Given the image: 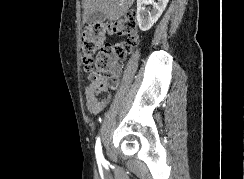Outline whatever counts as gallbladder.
I'll use <instances>...</instances> for the list:
<instances>
[{
    "mask_svg": "<svg viewBox=\"0 0 244 179\" xmlns=\"http://www.w3.org/2000/svg\"><path fill=\"white\" fill-rule=\"evenodd\" d=\"M105 20V14L102 12H94L89 18H87V24H102Z\"/></svg>",
    "mask_w": 244,
    "mask_h": 179,
    "instance_id": "bac80fb5",
    "label": "gallbladder"
}]
</instances>
